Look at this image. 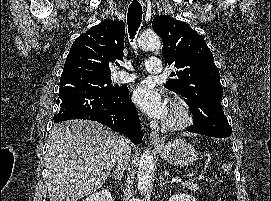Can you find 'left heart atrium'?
Wrapping results in <instances>:
<instances>
[{
	"label": "left heart atrium",
	"mask_w": 271,
	"mask_h": 201,
	"mask_svg": "<svg viewBox=\"0 0 271 201\" xmlns=\"http://www.w3.org/2000/svg\"><path fill=\"white\" fill-rule=\"evenodd\" d=\"M133 102L148 116L165 119L169 114L166 99L152 83L146 81L140 83L133 91Z\"/></svg>",
	"instance_id": "1"
}]
</instances>
